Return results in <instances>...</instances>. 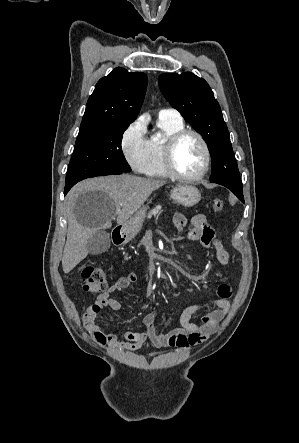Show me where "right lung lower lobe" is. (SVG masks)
<instances>
[{"instance_id": "right-lung-lower-lobe-1", "label": "right lung lower lobe", "mask_w": 299, "mask_h": 443, "mask_svg": "<svg viewBox=\"0 0 299 443\" xmlns=\"http://www.w3.org/2000/svg\"><path fill=\"white\" fill-rule=\"evenodd\" d=\"M121 173H122V171H117V172H109V173H106V174H103V175H117V174H121ZM72 186L73 185L65 186L64 195L67 194V192L70 190V188Z\"/></svg>"}]
</instances>
